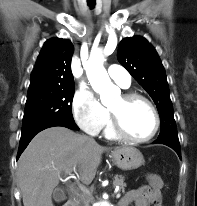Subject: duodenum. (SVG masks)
I'll return each mask as SVG.
<instances>
[{
    "mask_svg": "<svg viewBox=\"0 0 197 206\" xmlns=\"http://www.w3.org/2000/svg\"><path fill=\"white\" fill-rule=\"evenodd\" d=\"M63 206H75V203L72 200H68L63 204Z\"/></svg>",
    "mask_w": 197,
    "mask_h": 206,
    "instance_id": "410a0bca",
    "label": "duodenum"
}]
</instances>
